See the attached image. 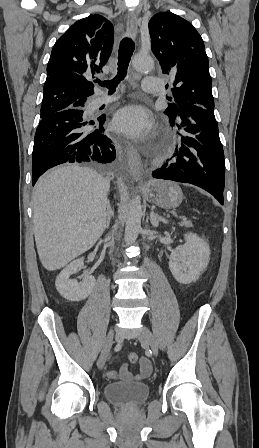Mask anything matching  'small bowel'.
Returning <instances> with one entry per match:
<instances>
[{
	"label": "small bowel",
	"mask_w": 259,
	"mask_h": 448,
	"mask_svg": "<svg viewBox=\"0 0 259 448\" xmlns=\"http://www.w3.org/2000/svg\"><path fill=\"white\" fill-rule=\"evenodd\" d=\"M152 371V365L148 358L142 357L139 361V373L134 375L130 371H128L127 367L124 365L120 372H116L115 370H109L106 372V375L110 379H117L119 376L128 382L132 381H142L146 379Z\"/></svg>",
	"instance_id": "small-bowel-1"
}]
</instances>
